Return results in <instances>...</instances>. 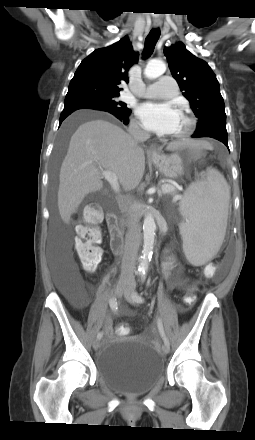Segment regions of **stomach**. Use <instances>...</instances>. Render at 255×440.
I'll use <instances>...</instances> for the list:
<instances>
[{
  "label": "stomach",
  "instance_id": "0dacf381",
  "mask_svg": "<svg viewBox=\"0 0 255 440\" xmlns=\"http://www.w3.org/2000/svg\"><path fill=\"white\" fill-rule=\"evenodd\" d=\"M150 159L167 178L176 179L181 176L184 171L182 158L178 154H159L150 157Z\"/></svg>",
  "mask_w": 255,
  "mask_h": 440
}]
</instances>
